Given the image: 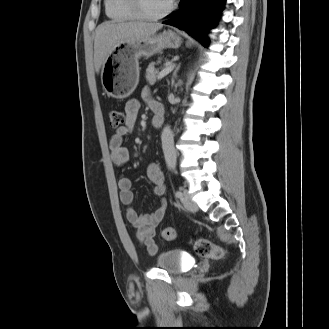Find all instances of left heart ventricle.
Here are the masks:
<instances>
[{
	"label": "left heart ventricle",
	"instance_id": "b2bd125f",
	"mask_svg": "<svg viewBox=\"0 0 329 329\" xmlns=\"http://www.w3.org/2000/svg\"><path fill=\"white\" fill-rule=\"evenodd\" d=\"M171 0H141L144 11L150 15H156L164 11Z\"/></svg>",
	"mask_w": 329,
	"mask_h": 329
}]
</instances>
